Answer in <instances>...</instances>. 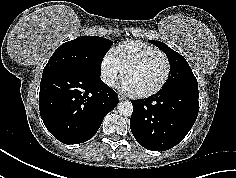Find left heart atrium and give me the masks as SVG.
<instances>
[{
    "label": "left heart atrium",
    "mask_w": 236,
    "mask_h": 178,
    "mask_svg": "<svg viewBox=\"0 0 236 178\" xmlns=\"http://www.w3.org/2000/svg\"><path fill=\"white\" fill-rule=\"evenodd\" d=\"M123 89L128 91V92H132L131 88L124 82L122 85Z\"/></svg>",
    "instance_id": "39dd6f15"
}]
</instances>
